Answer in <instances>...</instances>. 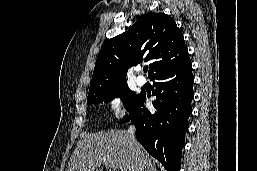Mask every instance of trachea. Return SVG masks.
Returning a JSON list of instances; mask_svg holds the SVG:
<instances>
[{
  "label": "trachea",
  "instance_id": "trachea-1",
  "mask_svg": "<svg viewBox=\"0 0 257 171\" xmlns=\"http://www.w3.org/2000/svg\"><path fill=\"white\" fill-rule=\"evenodd\" d=\"M148 71V68H144V72L146 73Z\"/></svg>",
  "mask_w": 257,
  "mask_h": 171
}]
</instances>
